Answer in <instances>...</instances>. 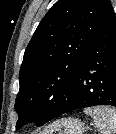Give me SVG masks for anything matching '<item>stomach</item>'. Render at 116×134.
<instances>
[{"label":"stomach","mask_w":116,"mask_h":134,"mask_svg":"<svg viewBox=\"0 0 116 134\" xmlns=\"http://www.w3.org/2000/svg\"><path fill=\"white\" fill-rule=\"evenodd\" d=\"M85 124L75 118H65L53 122L40 134H84Z\"/></svg>","instance_id":"1"}]
</instances>
